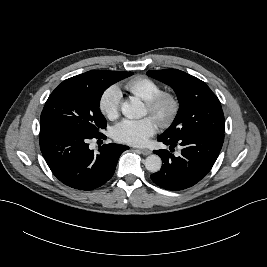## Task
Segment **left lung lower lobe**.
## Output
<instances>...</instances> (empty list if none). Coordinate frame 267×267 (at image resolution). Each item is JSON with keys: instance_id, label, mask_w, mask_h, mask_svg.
Masks as SVG:
<instances>
[{"instance_id": "left-lung-lower-lobe-1", "label": "left lung lower lobe", "mask_w": 267, "mask_h": 267, "mask_svg": "<svg viewBox=\"0 0 267 267\" xmlns=\"http://www.w3.org/2000/svg\"><path fill=\"white\" fill-rule=\"evenodd\" d=\"M170 149L181 145V155L175 157L167 150H155L163 162L162 168L150 177L161 188L179 191L189 188L211 170L224 141V134H196L178 141L158 137Z\"/></svg>"}]
</instances>
